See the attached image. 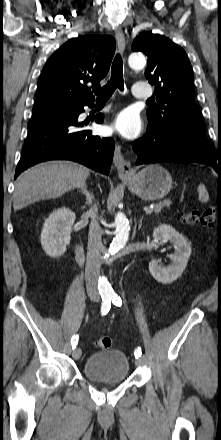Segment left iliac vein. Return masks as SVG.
<instances>
[{
  "mask_svg": "<svg viewBox=\"0 0 221 440\" xmlns=\"http://www.w3.org/2000/svg\"><path fill=\"white\" fill-rule=\"evenodd\" d=\"M135 364H136L137 366H141V365L143 364V360H142V358H137V359L135 360Z\"/></svg>",
  "mask_w": 221,
  "mask_h": 440,
  "instance_id": "1",
  "label": "left iliac vein"
}]
</instances>
